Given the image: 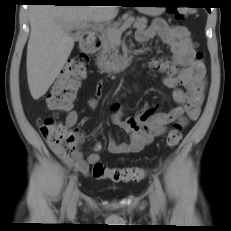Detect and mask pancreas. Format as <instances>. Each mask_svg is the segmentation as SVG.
<instances>
[{"instance_id": "pancreas-1", "label": "pancreas", "mask_w": 231, "mask_h": 231, "mask_svg": "<svg viewBox=\"0 0 231 231\" xmlns=\"http://www.w3.org/2000/svg\"><path fill=\"white\" fill-rule=\"evenodd\" d=\"M134 21L133 27L138 30H144L147 27V19L145 17H137L134 19L130 13L123 15L122 19L108 26L102 31L103 46L101 52L97 57V65L101 70L114 69L118 63L117 54L115 53V39H113L109 33L110 30L119 29L125 22Z\"/></svg>"}]
</instances>
